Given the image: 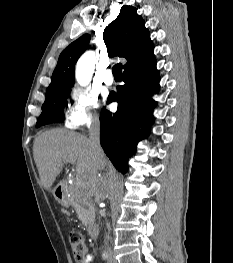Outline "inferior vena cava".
<instances>
[{
    "mask_svg": "<svg viewBox=\"0 0 233 263\" xmlns=\"http://www.w3.org/2000/svg\"><path fill=\"white\" fill-rule=\"evenodd\" d=\"M100 122L99 117L94 115L91 117V122L89 126V141L96 153L95 158L98 159V153L101 151L100 147ZM109 236H105V245L107 250L108 263H116L114 255L111 248L108 246Z\"/></svg>",
    "mask_w": 233,
    "mask_h": 263,
    "instance_id": "602c4592",
    "label": "inferior vena cava"
}]
</instances>
